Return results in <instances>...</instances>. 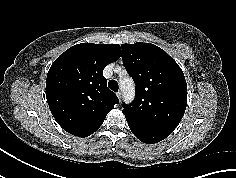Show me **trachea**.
I'll use <instances>...</instances> for the list:
<instances>
[{"instance_id":"1","label":"trachea","mask_w":236,"mask_h":178,"mask_svg":"<svg viewBox=\"0 0 236 178\" xmlns=\"http://www.w3.org/2000/svg\"><path fill=\"white\" fill-rule=\"evenodd\" d=\"M108 87L114 92H117L119 89L118 82L116 80H110L108 82Z\"/></svg>"}]
</instances>
